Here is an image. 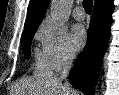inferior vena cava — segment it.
<instances>
[{"label": "inferior vena cava", "instance_id": "inferior-vena-cava-1", "mask_svg": "<svg viewBox=\"0 0 119 95\" xmlns=\"http://www.w3.org/2000/svg\"><path fill=\"white\" fill-rule=\"evenodd\" d=\"M74 57L73 53L68 52L65 54L63 59V71L60 77L61 79L68 77L70 69L72 68Z\"/></svg>", "mask_w": 119, "mask_h": 95}]
</instances>
